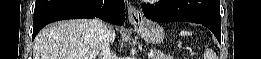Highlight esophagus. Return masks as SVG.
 <instances>
[{
	"label": "esophagus",
	"instance_id": "esophagus-1",
	"mask_svg": "<svg viewBox=\"0 0 261 59\" xmlns=\"http://www.w3.org/2000/svg\"><path fill=\"white\" fill-rule=\"evenodd\" d=\"M128 19L130 23L134 26L140 25L144 22L143 13L140 10L136 9L130 3L128 5Z\"/></svg>",
	"mask_w": 261,
	"mask_h": 59
}]
</instances>
